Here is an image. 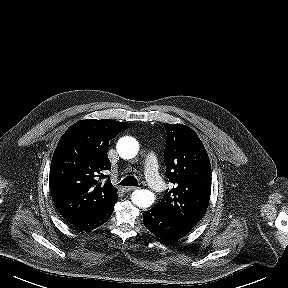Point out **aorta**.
Segmentation results:
<instances>
[{
  "instance_id": "762f6f07",
  "label": "aorta",
  "mask_w": 288,
  "mask_h": 288,
  "mask_svg": "<svg viewBox=\"0 0 288 288\" xmlns=\"http://www.w3.org/2000/svg\"><path fill=\"white\" fill-rule=\"evenodd\" d=\"M139 144L133 137H122L117 143V152L123 159H131L137 155ZM131 200L139 208H148L155 201V195L150 190L140 189L132 193Z\"/></svg>"
}]
</instances>
